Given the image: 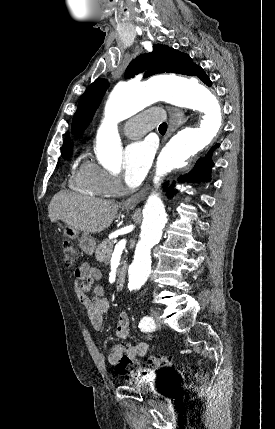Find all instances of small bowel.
Masks as SVG:
<instances>
[{
    "mask_svg": "<svg viewBox=\"0 0 275 429\" xmlns=\"http://www.w3.org/2000/svg\"><path fill=\"white\" fill-rule=\"evenodd\" d=\"M101 278L98 269L83 263L74 273V288L79 302L85 308L87 315L96 330H100L104 324L105 314L109 310V301L104 296L101 287L94 286V283ZM93 290V296L88 297L87 293ZM129 316L126 312L119 315L116 334L122 341L115 342L112 345V351L109 355V362L117 366L123 359L136 361L137 357H143L148 352V345L144 341H137L125 344L123 341L129 338Z\"/></svg>",
    "mask_w": 275,
    "mask_h": 429,
    "instance_id": "c3829d8e",
    "label": "small bowel"
}]
</instances>
